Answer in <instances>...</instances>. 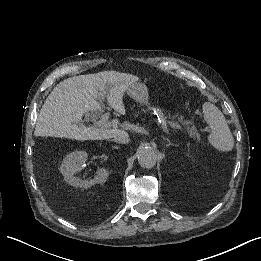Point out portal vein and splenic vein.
Instances as JSON below:
<instances>
[{
    "mask_svg": "<svg viewBox=\"0 0 261 261\" xmlns=\"http://www.w3.org/2000/svg\"><path fill=\"white\" fill-rule=\"evenodd\" d=\"M163 122H165L167 125H171V128L173 130H178L180 133H183L185 131V128L175 120H172L170 117H163ZM92 127H107L109 126V122L105 119H100L99 121H95L92 125Z\"/></svg>",
    "mask_w": 261,
    "mask_h": 261,
    "instance_id": "portal-vein-and-splenic-vein-1",
    "label": "portal vein and splenic vein"
}]
</instances>
